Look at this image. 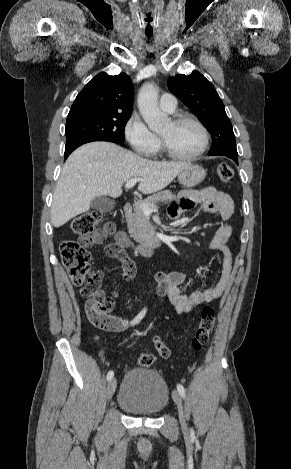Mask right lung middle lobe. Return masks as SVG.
Segmentation results:
<instances>
[{
    "label": "right lung middle lobe",
    "mask_w": 291,
    "mask_h": 469,
    "mask_svg": "<svg viewBox=\"0 0 291 469\" xmlns=\"http://www.w3.org/2000/svg\"><path fill=\"white\" fill-rule=\"evenodd\" d=\"M130 114L80 111L69 113L65 126L66 139L106 138L124 142V127Z\"/></svg>",
    "instance_id": "right-lung-middle-lobe-1"
}]
</instances>
